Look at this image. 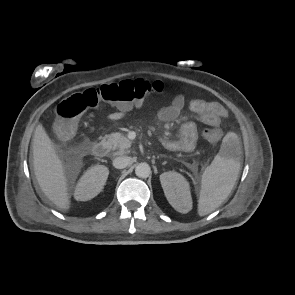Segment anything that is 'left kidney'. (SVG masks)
Instances as JSON below:
<instances>
[{"mask_svg":"<svg viewBox=\"0 0 295 295\" xmlns=\"http://www.w3.org/2000/svg\"><path fill=\"white\" fill-rule=\"evenodd\" d=\"M164 194L170 205L180 213H188L192 209L190 186L183 175L175 171L160 175Z\"/></svg>","mask_w":295,"mask_h":295,"instance_id":"5707ae66","label":"left kidney"}]
</instances>
